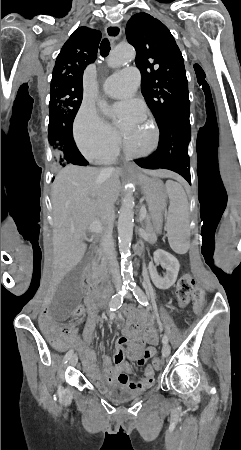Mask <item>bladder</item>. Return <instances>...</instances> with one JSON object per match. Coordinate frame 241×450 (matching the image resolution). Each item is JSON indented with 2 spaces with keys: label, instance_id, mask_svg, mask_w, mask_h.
<instances>
[{
  "label": "bladder",
  "instance_id": "31cf9c89",
  "mask_svg": "<svg viewBox=\"0 0 241 450\" xmlns=\"http://www.w3.org/2000/svg\"><path fill=\"white\" fill-rule=\"evenodd\" d=\"M109 399L115 402H125L132 400L139 395V392L127 387L125 384L118 382L113 388L106 392Z\"/></svg>",
  "mask_w": 241,
  "mask_h": 450
}]
</instances>
